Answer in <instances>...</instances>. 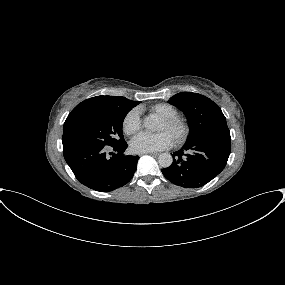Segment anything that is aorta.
<instances>
[{
	"label": "aorta",
	"mask_w": 285,
	"mask_h": 285,
	"mask_svg": "<svg viewBox=\"0 0 285 285\" xmlns=\"http://www.w3.org/2000/svg\"><path fill=\"white\" fill-rule=\"evenodd\" d=\"M144 126L146 129L153 130L155 127L154 122L150 118L144 120ZM173 158L169 153H162L158 157V163L161 167L167 168L171 166Z\"/></svg>",
	"instance_id": "obj_1"
}]
</instances>
